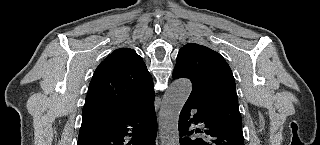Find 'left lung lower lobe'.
Instances as JSON below:
<instances>
[{
	"instance_id": "1",
	"label": "left lung lower lobe",
	"mask_w": 320,
	"mask_h": 145,
	"mask_svg": "<svg viewBox=\"0 0 320 145\" xmlns=\"http://www.w3.org/2000/svg\"><path fill=\"white\" fill-rule=\"evenodd\" d=\"M182 77L186 76L179 72H173V79ZM194 91L195 88L193 86L192 92L180 113V145H244L242 127L220 120L208 113L199 103ZM192 109L197 110V113L193 116V118L190 117V111ZM193 122L196 124L199 122L204 123L205 130H189ZM194 132L204 133L206 138L191 139L189 137H182L183 135H190Z\"/></svg>"
}]
</instances>
